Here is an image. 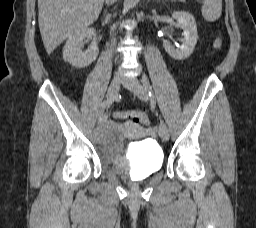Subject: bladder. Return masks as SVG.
<instances>
[{"mask_svg": "<svg viewBox=\"0 0 256 228\" xmlns=\"http://www.w3.org/2000/svg\"><path fill=\"white\" fill-rule=\"evenodd\" d=\"M93 145L105 163L128 178H147L163 166V151L153 140L132 143L124 153L122 133L116 125L98 131L93 137Z\"/></svg>", "mask_w": 256, "mask_h": 228, "instance_id": "obj_1", "label": "bladder"}]
</instances>
